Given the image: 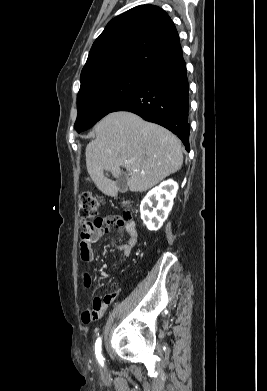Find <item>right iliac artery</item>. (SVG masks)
I'll use <instances>...</instances> for the list:
<instances>
[{
  "label": "right iliac artery",
  "instance_id": "1",
  "mask_svg": "<svg viewBox=\"0 0 267 391\" xmlns=\"http://www.w3.org/2000/svg\"><path fill=\"white\" fill-rule=\"evenodd\" d=\"M95 353L98 361L100 362L101 365H103V357L101 354V339L98 338L96 343H95Z\"/></svg>",
  "mask_w": 267,
  "mask_h": 391
}]
</instances>
